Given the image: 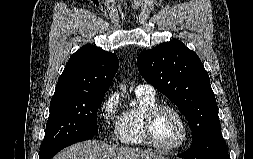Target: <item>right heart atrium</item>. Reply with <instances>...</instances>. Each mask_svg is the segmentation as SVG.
I'll list each match as a JSON object with an SVG mask.
<instances>
[{
    "label": "right heart atrium",
    "instance_id": "1",
    "mask_svg": "<svg viewBox=\"0 0 253 159\" xmlns=\"http://www.w3.org/2000/svg\"><path fill=\"white\" fill-rule=\"evenodd\" d=\"M100 118L102 122L114 133L117 130L122 120V113L119 109V98L115 93L109 94L100 104Z\"/></svg>",
    "mask_w": 253,
    "mask_h": 159
}]
</instances>
